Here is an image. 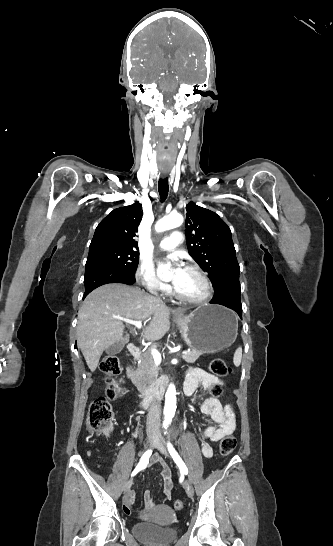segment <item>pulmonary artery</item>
Here are the masks:
<instances>
[{
    "mask_svg": "<svg viewBox=\"0 0 333 546\" xmlns=\"http://www.w3.org/2000/svg\"><path fill=\"white\" fill-rule=\"evenodd\" d=\"M183 242V234L180 231H173L169 236L164 237L159 243L161 251H171Z\"/></svg>",
    "mask_w": 333,
    "mask_h": 546,
    "instance_id": "pulmonary-artery-1",
    "label": "pulmonary artery"
}]
</instances>
